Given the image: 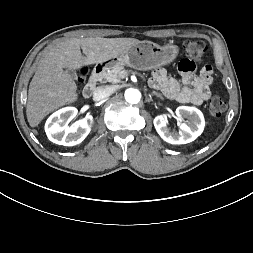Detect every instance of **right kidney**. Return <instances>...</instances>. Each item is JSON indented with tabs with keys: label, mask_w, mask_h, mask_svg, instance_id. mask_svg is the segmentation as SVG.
<instances>
[{
	"label": "right kidney",
	"mask_w": 253,
	"mask_h": 253,
	"mask_svg": "<svg viewBox=\"0 0 253 253\" xmlns=\"http://www.w3.org/2000/svg\"><path fill=\"white\" fill-rule=\"evenodd\" d=\"M77 114L75 107H65L53 113L45 124L47 137L53 143L74 146L80 144L89 134L93 124V117L84 119L69 125Z\"/></svg>",
	"instance_id": "ca27d5eb"
}]
</instances>
